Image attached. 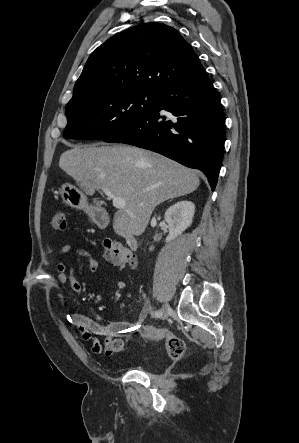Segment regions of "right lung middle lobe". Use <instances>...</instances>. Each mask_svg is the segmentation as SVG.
Segmentation results:
<instances>
[{
	"label": "right lung middle lobe",
	"mask_w": 299,
	"mask_h": 443,
	"mask_svg": "<svg viewBox=\"0 0 299 443\" xmlns=\"http://www.w3.org/2000/svg\"><path fill=\"white\" fill-rule=\"evenodd\" d=\"M157 92L145 90L114 91L67 104L68 124L64 137L105 139L149 112Z\"/></svg>",
	"instance_id": "1"
}]
</instances>
